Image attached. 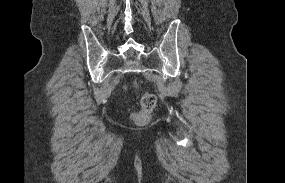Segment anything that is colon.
Masks as SVG:
<instances>
[{"label":"colon","instance_id":"5ec220e1","mask_svg":"<svg viewBox=\"0 0 285 183\" xmlns=\"http://www.w3.org/2000/svg\"><path fill=\"white\" fill-rule=\"evenodd\" d=\"M156 106V97L152 93H144L141 99V110L132 114V119L137 125H145L149 122L151 113Z\"/></svg>","mask_w":285,"mask_h":183}]
</instances>
